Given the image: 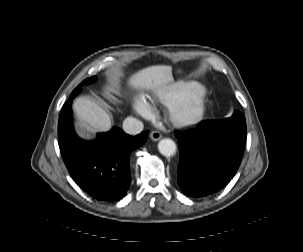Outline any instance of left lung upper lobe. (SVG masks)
I'll use <instances>...</instances> for the list:
<instances>
[{
    "mask_svg": "<svg viewBox=\"0 0 303 252\" xmlns=\"http://www.w3.org/2000/svg\"><path fill=\"white\" fill-rule=\"evenodd\" d=\"M227 120H231V121H234V120L235 121H238V120L245 121V117H244V115L241 112L235 111L233 113L232 117L227 118Z\"/></svg>",
    "mask_w": 303,
    "mask_h": 252,
    "instance_id": "obj_1",
    "label": "left lung upper lobe"
}]
</instances>
